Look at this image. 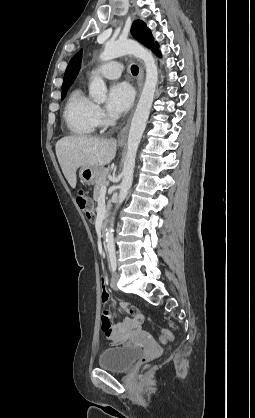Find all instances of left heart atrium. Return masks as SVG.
<instances>
[{"mask_svg":"<svg viewBox=\"0 0 255 418\" xmlns=\"http://www.w3.org/2000/svg\"><path fill=\"white\" fill-rule=\"evenodd\" d=\"M133 91L127 83L113 84L108 93L106 109L110 116L119 117L129 110L133 103Z\"/></svg>","mask_w":255,"mask_h":418,"instance_id":"left-heart-atrium-1","label":"left heart atrium"}]
</instances>
